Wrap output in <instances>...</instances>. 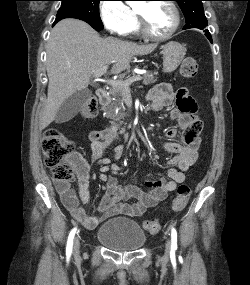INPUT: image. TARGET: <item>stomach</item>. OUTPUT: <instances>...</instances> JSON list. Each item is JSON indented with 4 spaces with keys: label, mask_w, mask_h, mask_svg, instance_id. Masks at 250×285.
Instances as JSON below:
<instances>
[{
    "label": "stomach",
    "mask_w": 250,
    "mask_h": 285,
    "mask_svg": "<svg viewBox=\"0 0 250 285\" xmlns=\"http://www.w3.org/2000/svg\"><path fill=\"white\" fill-rule=\"evenodd\" d=\"M163 72L172 73L182 62L186 49L178 42L171 41L162 46Z\"/></svg>",
    "instance_id": "stomach-1"
}]
</instances>
